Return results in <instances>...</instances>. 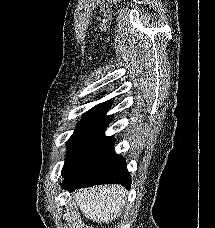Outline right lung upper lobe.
I'll return each instance as SVG.
<instances>
[{"mask_svg": "<svg viewBox=\"0 0 215 228\" xmlns=\"http://www.w3.org/2000/svg\"><path fill=\"white\" fill-rule=\"evenodd\" d=\"M109 107V102H104L96 105L84 115L82 120L78 122L77 127L91 123L110 122V119L105 116Z\"/></svg>", "mask_w": 215, "mask_h": 228, "instance_id": "obj_1", "label": "right lung upper lobe"}]
</instances>
